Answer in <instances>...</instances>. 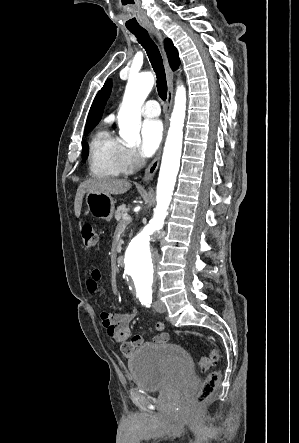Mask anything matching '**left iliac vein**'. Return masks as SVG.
Here are the masks:
<instances>
[{"instance_id": "left-iliac-vein-1", "label": "left iliac vein", "mask_w": 299, "mask_h": 443, "mask_svg": "<svg viewBox=\"0 0 299 443\" xmlns=\"http://www.w3.org/2000/svg\"><path fill=\"white\" fill-rule=\"evenodd\" d=\"M154 309L159 313H163V312H165L166 307L162 302H156L154 304Z\"/></svg>"}]
</instances>
